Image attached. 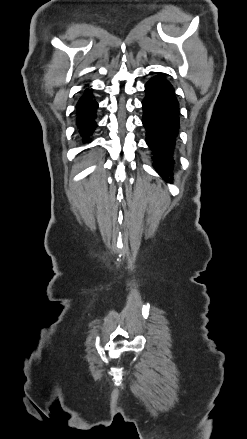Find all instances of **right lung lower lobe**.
Masks as SVG:
<instances>
[{"mask_svg":"<svg viewBox=\"0 0 247 439\" xmlns=\"http://www.w3.org/2000/svg\"><path fill=\"white\" fill-rule=\"evenodd\" d=\"M92 90L85 89L84 95L77 103V123L79 125V133L84 142H89V136L97 127V123L94 121L95 111L98 108V103L92 99Z\"/></svg>","mask_w":247,"mask_h":439,"instance_id":"1","label":"right lung lower lobe"}]
</instances>
